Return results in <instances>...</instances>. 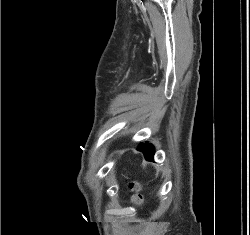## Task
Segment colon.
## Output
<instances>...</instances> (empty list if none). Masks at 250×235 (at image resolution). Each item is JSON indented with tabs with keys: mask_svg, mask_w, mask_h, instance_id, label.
<instances>
[{
	"mask_svg": "<svg viewBox=\"0 0 250 235\" xmlns=\"http://www.w3.org/2000/svg\"><path fill=\"white\" fill-rule=\"evenodd\" d=\"M129 188L134 193L132 197L133 203L140 204L144 199V195L142 193V184L139 182H131Z\"/></svg>",
	"mask_w": 250,
	"mask_h": 235,
	"instance_id": "colon-1",
	"label": "colon"
}]
</instances>
